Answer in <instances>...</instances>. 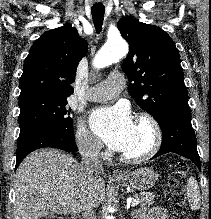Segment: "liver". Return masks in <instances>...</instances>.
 Here are the masks:
<instances>
[{
    "instance_id": "6515ba94",
    "label": "liver",
    "mask_w": 211,
    "mask_h": 219,
    "mask_svg": "<svg viewBox=\"0 0 211 219\" xmlns=\"http://www.w3.org/2000/svg\"><path fill=\"white\" fill-rule=\"evenodd\" d=\"M103 170L90 174L71 155L56 149L29 154L15 173L12 219H39L48 214H76L85 205L97 208L105 197Z\"/></svg>"
}]
</instances>
